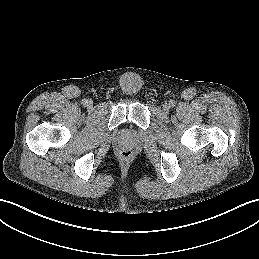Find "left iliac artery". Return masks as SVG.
I'll return each instance as SVG.
<instances>
[{
  "label": "left iliac artery",
  "instance_id": "1",
  "mask_svg": "<svg viewBox=\"0 0 259 259\" xmlns=\"http://www.w3.org/2000/svg\"><path fill=\"white\" fill-rule=\"evenodd\" d=\"M169 104H170V106L173 107V106H175L176 102L174 100H171Z\"/></svg>",
  "mask_w": 259,
  "mask_h": 259
}]
</instances>
